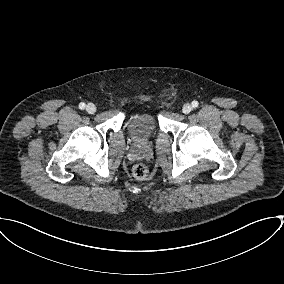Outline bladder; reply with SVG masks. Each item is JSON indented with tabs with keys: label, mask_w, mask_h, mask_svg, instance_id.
<instances>
[{
	"label": "bladder",
	"mask_w": 284,
	"mask_h": 284,
	"mask_svg": "<svg viewBox=\"0 0 284 284\" xmlns=\"http://www.w3.org/2000/svg\"><path fill=\"white\" fill-rule=\"evenodd\" d=\"M156 126V117L149 111L140 112L128 121L129 133L136 142L148 141L153 136Z\"/></svg>",
	"instance_id": "bladder-1"
}]
</instances>
